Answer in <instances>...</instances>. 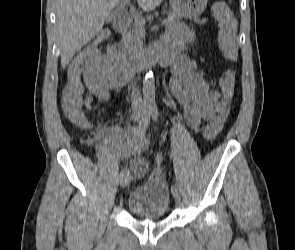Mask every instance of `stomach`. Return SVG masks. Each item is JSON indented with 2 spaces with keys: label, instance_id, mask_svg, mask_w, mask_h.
Returning <instances> with one entry per match:
<instances>
[{
  "label": "stomach",
  "instance_id": "stomach-1",
  "mask_svg": "<svg viewBox=\"0 0 295 250\" xmlns=\"http://www.w3.org/2000/svg\"><path fill=\"white\" fill-rule=\"evenodd\" d=\"M172 11L181 17H197L207 6V0H170Z\"/></svg>",
  "mask_w": 295,
  "mask_h": 250
}]
</instances>
